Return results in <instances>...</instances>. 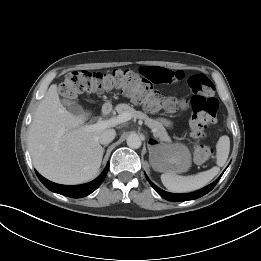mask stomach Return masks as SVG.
Masks as SVG:
<instances>
[{
  "mask_svg": "<svg viewBox=\"0 0 261 261\" xmlns=\"http://www.w3.org/2000/svg\"><path fill=\"white\" fill-rule=\"evenodd\" d=\"M164 140H151L149 162L155 171L180 174L191 166V153L182 143H165Z\"/></svg>",
  "mask_w": 261,
  "mask_h": 261,
  "instance_id": "0dacf381",
  "label": "stomach"
}]
</instances>
